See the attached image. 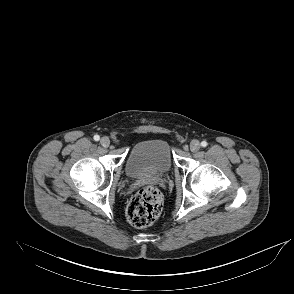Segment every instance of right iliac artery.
<instances>
[{"label":"right iliac artery","mask_w":294,"mask_h":294,"mask_svg":"<svg viewBox=\"0 0 294 294\" xmlns=\"http://www.w3.org/2000/svg\"><path fill=\"white\" fill-rule=\"evenodd\" d=\"M99 139H100V136H99V135H95V136H94V140H95V141H99Z\"/></svg>","instance_id":"82829eb1"}]
</instances>
